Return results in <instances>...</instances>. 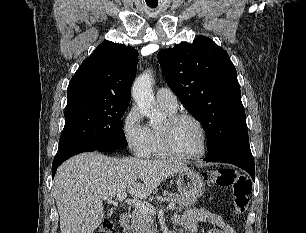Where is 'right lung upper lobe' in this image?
Segmentation results:
<instances>
[{"label": "right lung upper lobe", "mask_w": 306, "mask_h": 233, "mask_svg": "<svg viewBox=\"0 0 306 233\" xmlns=\"http://www.w3.org/2000/svg\"><path fill=\"white\" fill-rule=\"evenodd\" d=\"M138 52L131 46L106 41L81 64L67 89V103L78 100L130 102Z\"/></svg>", "instance_id": "1"}]
</instances>
